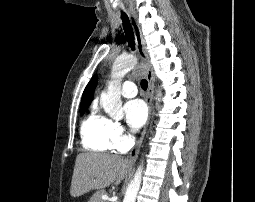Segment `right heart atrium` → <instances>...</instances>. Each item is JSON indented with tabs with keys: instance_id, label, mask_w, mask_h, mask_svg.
<instances>
[{
	"instance_id": "d8ad5b80",
	"label": "right heart atrium",
	"mask_w": 255,
	"mask_h": 202,
	"mask_svg": "<svg viewBox=\"0 0 255 202\" xmlns=\"http://www.w3.org/2000/svg\"><path fill=\"white\" fill-rule=\"evenodd\" d=\"M111 141L113 148L118 150L125 148L129 141V135L126 133L123 126L117 121H112Z\"/></svg>"
}]
</instances>
